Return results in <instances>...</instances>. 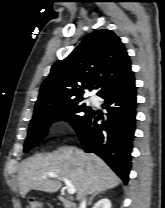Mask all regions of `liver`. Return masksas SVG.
Returning <instances> with one entry per match:
<instances>
[{
  "label": "liver",
  "instance_id": "6515ba94",
  "mask_svg": "<svg viewBox=\"0 0 165 208\" xmlns=\"http://www.w3.org/2000/svg\"><path fill=\"white\" fill-rule=\"evenodd\" d=\"M47 173H55L58 177L43 178ZM60 177L69 179L75 186L77 200L120 183L118 176L95 154L64 146L53 153L35 155L24 161L17 176L20 195L25 197L32 189L55 193L62 186Z\"/></svg>",
  "mask_w": 165,
  "mask_h": 208
}]
</instances>
